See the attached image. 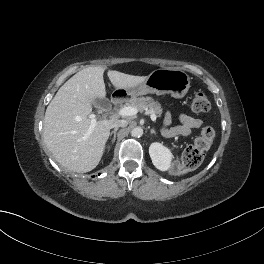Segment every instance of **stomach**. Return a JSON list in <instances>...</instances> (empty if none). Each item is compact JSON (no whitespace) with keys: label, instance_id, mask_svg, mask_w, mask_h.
Masks as SVG:
<instances>
[{"label":"stomach","instance_id":"obj_1","mask_svg":"<svg viewBox=\"0 0 264 264\" xmlns=\"http://www.w3.org/2000/svg\"><path fill=\"white\" fill-rule=\"evenodd\" d=\"M190 88L189 75L180 69L160 68L151 72L147 79L128 88L126 93L132 97L155 93L157 95L171 94L174 98H183Z\"/></svg>","mask_w":264,"mask_h":264}]
</instances>
